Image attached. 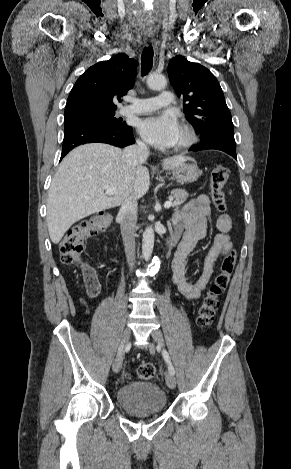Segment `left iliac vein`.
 Wrapping results in <instances>:
<instances>
[{"label": "left iliac vein", "mask_w": 291, "mask_h": 469, "mask_svg": "<svg viewBox=\"0 0 291 469\" xmlns=\"http://www.w3.org/2000/svg\"><path fill=\"white\" fill-rule=\"evenodd\" d=\"M152 338L154 339V341L159 345V346H162L163 345V335H162V332L158 329L154 330L152 333ZM151 352H154V347L151 346ZM165 380H166V384L169 388L171 389H174L175 386H176V378L174 377L173 374H171L170 372L169 373H166V376H165Z\"/></svg>", "instance_id": "obj_1"}]
</instances>
